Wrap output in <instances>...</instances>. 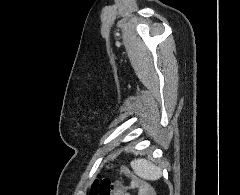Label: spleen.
Here are the masks:
<instances>
[{"mask_svg": "<svg viewBox=\"0 0 240 195\" xmlns=\"http://www.w3.org/2000/svg\"><path fill=\"white\" fill-rule=\"evenodd\" d=\"M131 165L136 175L143 177V179L155 181V179H159L162 175L161 167H158L155 163H151L148 159H133Z\"/></svg>", "mask_w": 240, "mask_h": 195, "instance_id": "spleen-1", "label": "spleen"}]
</instances>
